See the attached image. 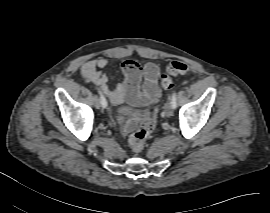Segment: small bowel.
Listing matches in <instances>:
<instances>
[{
  "label": "small bowel",
  "instance_id": "c3829d8e",
  "mask_svg": "<svg viewBox=\"0 0 270 213\" xmlns=\"http://www.w3.org/2000/svg\"><path fill=\"white\" fill-rule=\"evenodd\" d=\"M108 65L107 57L88 60L81 67V75L93 83L112 103L131 102L147 107L157 102L161 94L157 84L160 70L155 63L150 62L141 67L134 60L123 61L121 70L124 80L115 89L110 88V79L100 71ZM142 79L144 83L141 86Z\"/></svg>",
  "mask_w": 270,
  "mask_h": 213
}]
</instances>
